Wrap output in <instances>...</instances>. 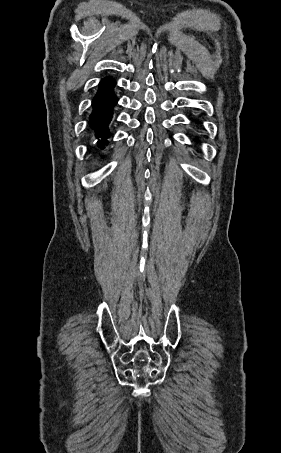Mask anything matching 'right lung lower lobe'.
Instances as JSON below:
<instances>
[{"label": "right lung lower lobe", "instance_id": "98d812e1", "mask_svg": "<svg viewBox=\"0 0 281 453\" xmlns=\"http://www.w3.org/2000/svg\"><path fill=\"white\" fill-rule=\"evenodd\" d=\"M115 80L111 77L104 78L99 85L98 92L93 99V112L90 115L89 125L95 131L98 147L103 149L110 136L108 124L112 119V108L117 103L113 92Z\"/></svg>", "mask_w": 281, "mask_h": 453}]
</instances>
